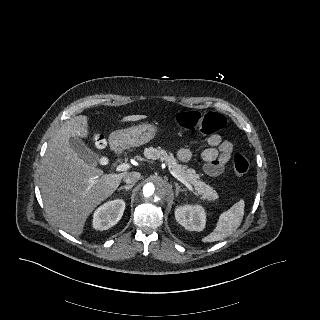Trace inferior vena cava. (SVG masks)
Wrapping results in <instances>:
<instances>
[{
  "label": "inferior vena cava",
  "instance_id": "602c4592",
  "mask_svg": "<svg viewBox=\"0 0 320 320\" xmlns=\"http://www.w3.org/2000/svg\"><path fill=\"white\" fill-rule=\"evenodd\" d=\"M141 177L139 172H129L124 176V182L127 184H134L137 182Z\"/></svg>",
  "mask_w": 320,
  "mask_h": 320
}]
</instances>
